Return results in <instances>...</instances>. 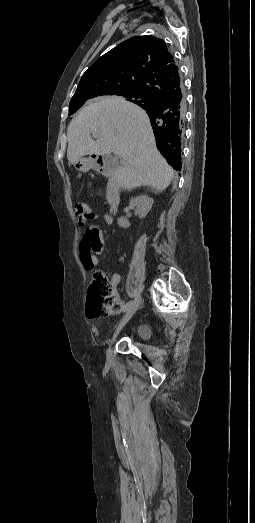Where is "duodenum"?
Here are the masks:
<instances>
[{"mask_svg":"<svg viewBox=\"0 0 255 523\" xmlns=\"http://www.w3.org/2000/svg\"><path fill=\"white\" fill-rule=\"evenodd\" d=\"M87 169L95 171L108 178V185L106 190V200L110 208L111 214H114L120 205V183L119 179L115 174V168L113 164L105 157L101 155H91L85 161ZM111 221L112 216L109 215Z\"/></svg>","mask_w":255,"mask_h":523,"instance_id":"410a0bca","label":"duodenum"}]
</instances>
